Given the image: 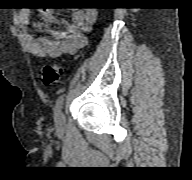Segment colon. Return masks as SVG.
Instances as JSON below:
<instances>
[{"label": "colon", "instance_id": "colon-1", "mask_svg": "<svg viewBox=\"0 0 192 180\" xmlns=\"http://www.w3.org/2000/svg\"><path fill=\"white\" fill-rule=\"evenodd\" d=\"M63 68L58 63H48L42 68V77L46 85H53L60 81Z\"/></svg>", "mask_w": 192, "mask_h": 180}]
</instances>
